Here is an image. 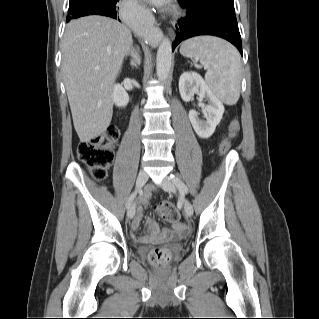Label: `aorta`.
<instances>
[{"mask_svg":"<svg viewBox=\"0 0 319 319\" xmlns=\"http://www.w3.org/2000/svg\"><path fill=\"white\" fill-rule=\"evenodd\" d=\"M141 25L145 33L146 30L151 28V20L147 15H141ZM172 61V47L169 39L165 38L159 45L157 51V60H156V73L160 81H165L170 73Z\"/></svg>","mask_w":319,"mask_h":319,"instance_id":"aorta-1","label":"aorta"}]
</instances>
